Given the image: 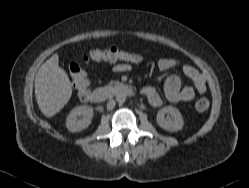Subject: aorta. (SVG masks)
<instances>
[{
  "instance_id": "1",
  "label": "aorta",
  "mask_w": 249,
  "mask_h": 188,
  "mask_svg": "<svg viewBox=\"0 0 249 188\" xmlns=\"http://www.w3.org/2000/svg\"><path fill=\"white\" fill-rule=\"evenodd\" d=\"M116 101L120 104H123L126 101V95L124 93H118L116 95Z\"/></svg>"
}]
</instances>
